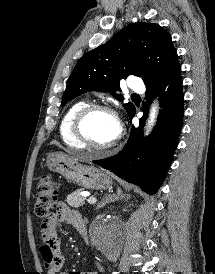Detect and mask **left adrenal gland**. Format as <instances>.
Listing matches in <instances>:
<instances>
[{"mask_svg": "<svg viewBox=\"0 0 215 274\" xmlns=\"http://www.w3.org/2000/svg\"><path fill=\"white\" fill-rule=\"evenodd\" d=\"M119 197H117L116 195H110L107 194L103 197V199L100 201V203L97 205L96 210H99L103 207H105L106 204L110 203V202H114L116 200H118Z\"/></svg>", "mask_w": 215, "mask_h": 274, "instance_id": "left-adrenal-gland-1", "label": "left adrenal gland"}]
</instances>
